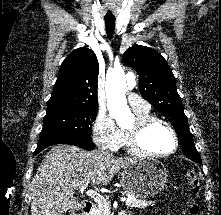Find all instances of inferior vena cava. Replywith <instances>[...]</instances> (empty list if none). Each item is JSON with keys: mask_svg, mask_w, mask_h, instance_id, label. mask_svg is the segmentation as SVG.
<instances>
[{"mask_svg": "<svg viewBox=\"0 0 221 215\" xmlns=\"http://www.w3.org/2000/svg\"><path fill=\"white\" fill-rule=\"evenodd\" d=\"M99 151H100L101 153L105 154V155H109V154H110V152L106 149L105 146H102V147L99 149Z\"/></svg>", "mask_w": 221, "mask_h": 215, "instance_id": "602c4592", "label": "inferior vena cava"}]
</instances>
